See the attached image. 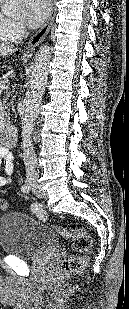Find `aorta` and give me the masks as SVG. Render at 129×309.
I'll list each match as a JSON object with an SVG mask.
<instances>
[{"mask_svg":"<svg viewBox=\"0 0 129 309\" xmlns=\"http://www.w3.org/2000/svg\"><path fill=\"white\" fill-rule=\"evenodd\" d=\"M23 0H5L4 13L7 16H18ZM51 48L43 45L37 51L28 80L27 90L21 104L20 116L22 126V149L25 158L35 159L32 134L35 120L38 117L40 105L45 92L49 73Z\"/></svg>","mask_w":129,"mask_h":309,"instance_id":"aorta-1","label":"aorta"}]
</instances>
